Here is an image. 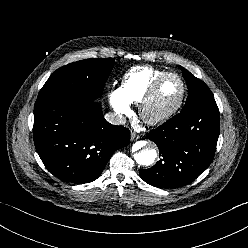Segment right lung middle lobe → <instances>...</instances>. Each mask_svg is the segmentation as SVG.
I'll list each match as a JSON object with an SVG mask.
<instances>
[{
	"instance_id": "right-lung-middle-lobe-1",
	"label": "right lung middle lobe",
	"mask_w": 248,
	"mask_h": 248,
	"mask_svg": "<svg viewBox=\"0 0 248 248\" xmlns=\"http://www.w3.org/2000/svg\"><path fill=\"white\" fill-rule=\"evenodd\" d=\"M113 65V58H98L63 66L49 77L38 98L66 95L95 101L103 93V87Z\"/></svg>"
}]
</instances>
